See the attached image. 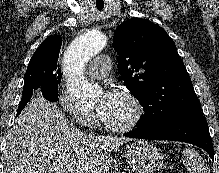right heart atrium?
Here are the masks:
<instances>
[{"instance_id": "1", "label": "right heart atrium", "mask_w": 219, "mask_h": 173, "mask_svg": "<svg viewBox=\"0 0 219 173\" xmlns=\"http://www.w3.org/2000/svg\"><path fill=\"white\" fill-rule=\"evenodd\" d=\"M58 102L59 105L80 125L85 127H94L96 125L97 116L95 112L85 108L72 94L65 91H59Z\"/></svg>"}]
</instances>
